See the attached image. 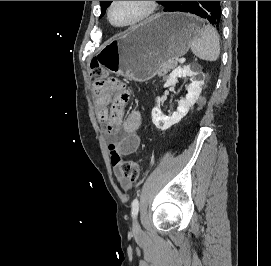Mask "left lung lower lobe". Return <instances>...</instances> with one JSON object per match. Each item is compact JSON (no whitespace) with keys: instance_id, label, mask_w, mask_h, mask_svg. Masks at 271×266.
Here are the masks:
<instances>
[{"instance_id":"left-lung-lower-lobe-1","label":"left lung lower lobe","mask_w":271,"mask_h":266,"mask_svg":"<svg viewBox=\"0 0 271 266\" xmlns=\"http://www.w3.org/2000/svg\"><path fill=\"white\" fill-rule=\"evenodd\" d=\"M165 12H189L207 19L217 30L221 23L220 1H170L164 7Z\"/></svg>"}]
</instances>
